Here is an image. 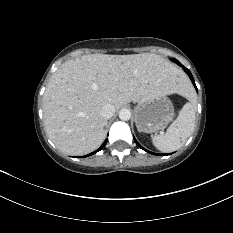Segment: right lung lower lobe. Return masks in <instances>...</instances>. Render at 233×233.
Returning <instances> with one entry per match:
<instances>
[{
  "label": "right lung lower lobe",
  "mask_w": 233,
  "mask_h": 233,
  "mask_svg": "<svg viewBox=\"0 0 233 233\" xmlns=\"http://www.w3.org/2000/svg\"><path fill=\"white\" fill-rule=\"evenodd\" d=\"M106 142H107V139L104 141V143L100 146L99 149H97L96 151H94L86 156H90V155L95 154L96 152L100 151L105 146ZM86 156H84V157H86Z\"/></svg>",
  "instance_id": "right-lung-lower-lobe-1"
}]
</instances>
